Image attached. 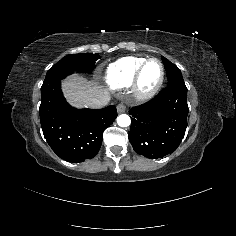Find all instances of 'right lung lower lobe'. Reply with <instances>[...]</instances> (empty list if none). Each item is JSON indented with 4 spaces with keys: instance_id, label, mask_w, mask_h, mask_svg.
Listing matches in <instances>:
<instances>
[{
    "instance_id": "1",
    "label": "right lung lower lobe",
    "mask_w": 236,
    "mask_h": 236,
    "mask_svg": "<svg viewBox=\"0 0 236 236\" xmlns=\"http://www.w3.org/2000/svg\"><path fill=\"white\" fill-rule=\"evenodd\" d=\"M72 73L45 78L39 108L41 127L48 144L60 158L73 163L93 158L102 144L103 131L117 117L116 107H71L61 91V80Z\"/></svg>"
}]
</instances>
